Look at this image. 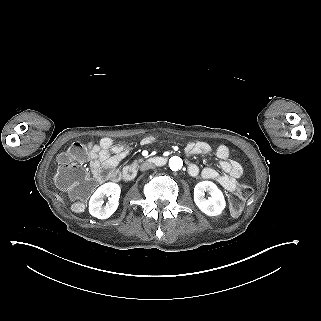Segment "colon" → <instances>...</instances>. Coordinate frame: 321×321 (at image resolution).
<instances>
[{"label":"colon","instance_id":"5ec220e1","mask_svg":"<svg viewBox=\"0 0 321 321\" xmlns=\"http://www.w3.org/2000/svg\"><path fill=\"white\" fill-rule=\"evenodd\" d=\"M88 155V147L84 143L75 142L58 159L56 182L70 192L73 200L72 208L75 211L84 209L85 202L94 188V183L83 166ZM251 192L248 185L238 186L230 197V211L233 216L240 215Z\"/></svg>","mask_w":321,"mask_h":321}]
</instances>
